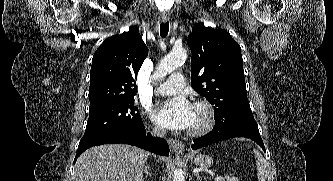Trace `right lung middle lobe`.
Segmentation results:
<instances>
[{"label":"right lung middle lobe","instance_id":"1","mask_svg":"<svg viewBox=\"0 0 333 181\" xmlns=\"http://www.w3.org/2000/svg\"><path fill=\"white\" fill-rule=\"evenodd\" d=\"M133 102L134 98H127L89 108L90 115L82 139L126 132L141 125V116Z\"/></svg>","mask_w":333,"mask_h":181}]
</instances>
